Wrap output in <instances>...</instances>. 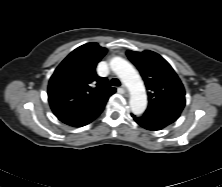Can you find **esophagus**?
Here are the masks:
<instances>
[{"label": "esophagus", "instance_id": "1", "mask_svg": "<svg viewBox=\"0 0 222 187\" xmlns=\"http://www.w3.org/2000/svg\"><path fill=\"white\" fill-rule=\"evenodd\" d=\"M121 90H122V93H123V94L128 95V89L126 88L125 85H122V86H121Z\"/></svg>", "mask_w": 222, "mask_h": 187}]
</instances>
